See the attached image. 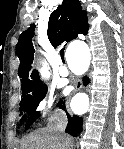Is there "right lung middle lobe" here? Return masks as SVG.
I'll list each match as a JSON object with an SVG mask.
<instances>
[{"label": "right lung middle lobe", "instance_id": "obj_1", "mask_svg": "<svg viewBox=\"0 0 124 149\" xmlns=\"http://www.w3.org/2000/svg\"><path fill=\"white\" fill-rule=\"evenodd\" d=\"M46 93L47 87L45 84L33 87H22L23 98L20 101V115H22V111L26 112L29 116L38 114V112H36V108L38 107L39 102L45 97ZM27 117V115H24L21 118V123H24Z\"/></svg>", "mask_w": 124, "mask_h": 149}]
</instances>
